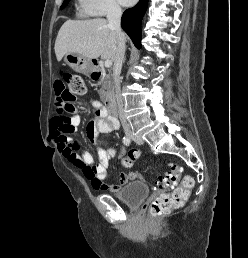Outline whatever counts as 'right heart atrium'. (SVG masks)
Returning <instances> with one entry per match:
<instances>
[{
  "instance_id": "d8ad5b80",
  "label": "right heart atrium",
  "mask_w": 248,
  "mask_h": 258,
  "mask_svg": "<svg viewBox=\"0 0 248 258\" xmlns=\"http://www.w3.org/2000/svg\"><path fill=\"white\" fill-rule=\"evenodd\" d=\"M78 11L86 17H101L121 11L117 0H78Z\"/></svg>"
}]
</instances>
